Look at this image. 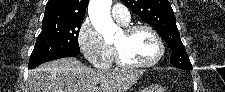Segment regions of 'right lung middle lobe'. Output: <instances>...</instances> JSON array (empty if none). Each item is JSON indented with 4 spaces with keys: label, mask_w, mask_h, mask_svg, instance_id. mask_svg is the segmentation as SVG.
I'll return each mask as SVG.
<instances>
[{
    "label": "right lung middle lobe",
    "mask_w": 225,
    "mask_h": 92,
    "mask_svg": "<svg viewBox=\"0 0 225 92\" xmlns=\"http://www.w3.org/2000/svg\"><path fill=\"white\" fill-rule=\"evenodd\" d=\"M81 24L82 22L42 24L30 61L65 52H79L78 35Z\"/></svg>",
    "instance_id": "1"
}]
</instances>
